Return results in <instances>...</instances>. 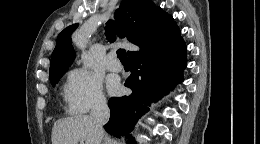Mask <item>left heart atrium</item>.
Wrapping results in <instances>:
<instances>
[{
	"label": "left heart atrium",
	"mask_w": 260,
	"mask_h": 144,
	"mask_svg": "<svg viewBox=\"0 0 260 144\" xmlns=\"http://www.w3.org/2000/svg\"><path fill=\"white\" fill-rule=\"evenodd\" d=\"M108 88L111 93H115L119 89L118 82L113 77L109 78L108 80Z\"/></svg>",
	"instance_id": "1"
}]
</instances>
